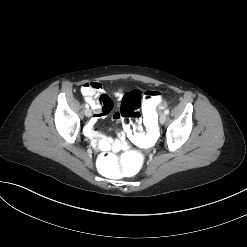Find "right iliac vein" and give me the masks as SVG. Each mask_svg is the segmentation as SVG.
<instances>
[{
	"label": "right iliac vein",
	"instance_id": "right-iliac-vein-1",
	"mask_svg": "<svg viewBox=\"0 0 247 247\" xmlns=\"http://www.w3.org/2000/svg\"><path fill=\"white\" fill-rule=\"evenodd\" d=\"M85 115H86V117H91L92 112H91V110H90L89 108H87V109L85 110Z\"/></svg>",
	"mask_w": 247,
	"mask_h": 247
}]
</instances>
